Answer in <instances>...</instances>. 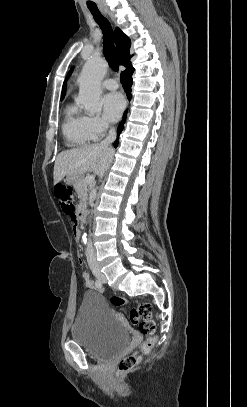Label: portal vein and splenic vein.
Listing matches in <instances>:
<instances>
[{
    "label": "portal vein and splenic vein",
    "instance_id": "18ae733b",
    "mask_svg": "<svg viewBox=\"0 0 247 407\" xmlns=\"http://www.w3.org/2000/svg\"><path fill=\"white\" fill-rule=\"evenodd\" d=\"M94 180H95V176L94 175H87L86 176V178H85V181L87 182V183H93L94 182Z\"/></svg>",
    "mask_w": 247,
    "mask_h": 407
}]
</instances>
